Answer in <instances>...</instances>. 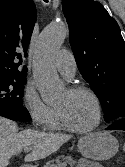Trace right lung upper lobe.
Listing matches in <instances>:
<instances>
[{
  "label": "right lung upper lobe",
  "instance_id": "1",
  "mask_svg": "<svg viewBox=\"0 0 125 167\" xmlns=\"http://www.w3.org/2000/svg\"><path fill=\"white\" fill-rule=\"evenodd\" d=\"M36 17L33 0H0V77L26 78L21 64Z\"/></svg>",
  "mask_w": 125,
  "mask_h": 167
}]
</instances>
